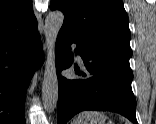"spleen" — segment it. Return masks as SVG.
Returning <instances> with one entry per match:
<instances>
[{"instance_id":"3e777b00","label":"spleen","mask_w":156,"mask_h":124,"mask_svg":"<svg viewBox=\"0 0 156 124\" xmlns=\"http://www.w3.org/2000/svg\"><path fill=\"white\" fill-rule=\"evenodd\" d=\"M101 115L99 112L95 111H84L81 114H79L78 119L80 118H93L95 116Z\"/></svg>"}]
</instances>
